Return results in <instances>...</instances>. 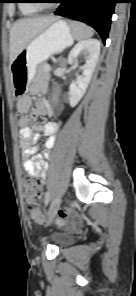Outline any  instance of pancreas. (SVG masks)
Here are the masks:
<instances>
[{
  "label": "pancreas",
  "mask_w": 136,
  "mask_h": 296,
  "mask_svg": "<svg viewBox=\"0 0 136 296\" xmlns=\"http://www.w3.org/2000/svg\"><path fill=\"white\" fill-rule=\"evenodd\" d=\"M49 66L47 64H42L40 67H39V70H38V75L41 76V77H49V73H48V68Z\"/></svg>",
  "instance_id": "obj_1"
}]
</instances>
